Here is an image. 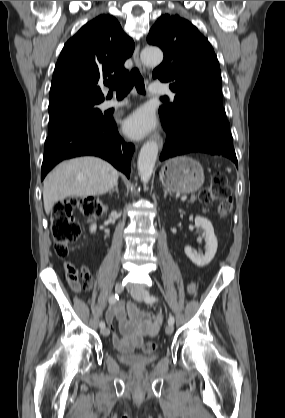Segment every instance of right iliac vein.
Returning <instances> with one entry per match:
<instances>
[{"label":"right iliac vein","instance_id":"right-iliac-vein-1","mask_svg":"<svg viewBox=\"0 0 285 418\" xmlns=\"http://www.w3.org/2000/svg\"><path fill=\"white\" fill-rule=\"evenodd\" d=\"M123 289H124V285L121 282H117L115 284L116 293H121L123 291ZM101 333H102L103 336H108L109 333H110V330H109V328L104 327V328L101 329Z\"/></svg>","mask_w":285,"mask_h":418}]
</instances>
